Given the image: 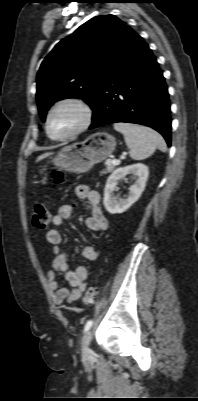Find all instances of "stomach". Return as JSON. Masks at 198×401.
<instances>
[{"label":"stomach","mask_w":198,"mask_h":401,"mask_svg":"<svg viewBox=\"0 0 198 401\" xmlns=\"http://www.w3.org/2000/svg\"><path fill=\"white\" fill-rule=\"evenodd\" d=\"M115 147L116 140L113 135L107 132H96L82 142L64 147L51 162L59 169L77 174L84 173L93 165L105 160L112 154ZM46 181L45 174L41 182L44 184Z\"/></svg>","instance_id":"stomach-1"}]
</instances>
